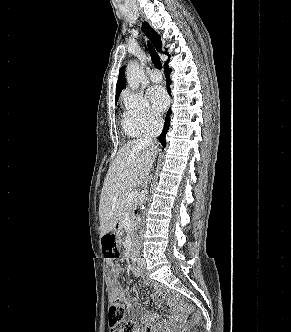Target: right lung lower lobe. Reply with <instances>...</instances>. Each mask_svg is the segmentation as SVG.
<instances>
[{"mask_svg":"<svg viewBox=\"0 0 291 332\" xmlns=\"http://www.w3.org/2000/svg\"><path fill=\"white\" fill-rule=\"evenodd\" d=\"M167 63L168 62H166L164 65V72H165V76H166V80H167V91H168L169 95H171L170 88H169V85L171 83L170 78H169V73L171 72V69L168 68ZM170 114H171V109H169V111L167 112L163 132L159 136V141L164 147L166 146V140H165L166 133H167V131L169 129V125H170Z\"/></svg>","mask_w":291,"mask_h":332,"instance_id":"obj_1","label":"right lung lower lobe"}]
</instances>
